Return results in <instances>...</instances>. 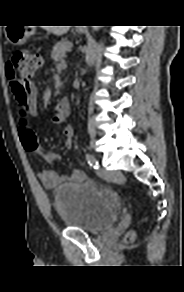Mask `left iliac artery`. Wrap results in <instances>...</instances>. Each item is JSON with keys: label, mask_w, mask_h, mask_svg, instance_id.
<instances>
[{"label": "left iliac artery", "mask_w": 184, "mask_h": 292, "mask_svg": "<svg viewBox=\"0 0 184 292\" xmlns=\"http://www.w3.org/2000/svg\"><path fill=\"white\" fill-rule=\"evenodd\" d=\"M86 160H87L88 164L91 167H93L94 169L99 168V163H98L97 159L92 154H86Z\"/></svg>", "instance_id": "1"}]
</instances>
